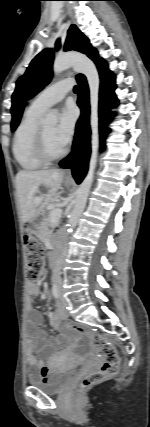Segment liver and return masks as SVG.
Instances as JSON below:
<instances>
[{
	"mask_svg": "<svg viewBox=\"0 0 150 427\" xmlns=\"http://www.w3.org/2000/svg\"><path fill=\"white\" fill-rule=\"evenodd\" d=\"M64 173L59 170L20 171L16 175V188L22 222L37 218L45 206L58 201ZM48 188L43 200L35 203L39 186Z\"/></svg>",
	"mask_w": 150,
	"mask_h": 427,
	"instance_id": "1",
	"label": "liver"
}]
</instances>
